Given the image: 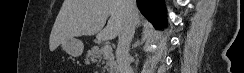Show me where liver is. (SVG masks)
I'll use <instances>...</instances> for the list:
<instances>
[{
	"label": "liver",
	"mask_w": 244,
	"mask_h": 73,
	"mask_svg": "<svg viewBox=\"0 0 244 73\" xmlns=\"http://www.w3.org/2000/svg\"><path fill=\"white\" fill-rule=\"evenodd\" d=\"M139 22L137 11L136 24ZM123 23L122 0H64L51 31L49 49L54 51L62 41L83 35H96L103 41L114 39Z\"/></svg>",
	"instance_id": "obj_1"
}]
</instances>
